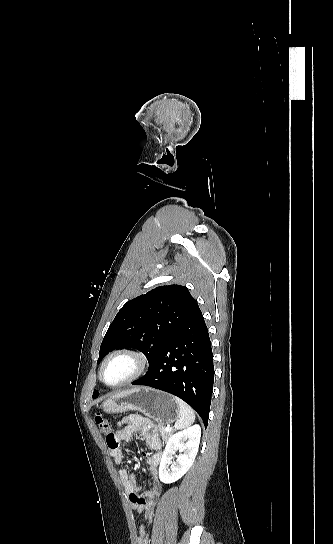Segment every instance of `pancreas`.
Listing matches in <instances>:
<instances>
[{
  "mask_svg": "<svg viewBox=\"0 0 333 544\" xmlns=\"http://www.w3.org/2000/svg\"><path fill=\"white\" fill-rule=\"evenodd\" d=\"M159 432H160V435L162 437V439L166 442L169 437L172 435L173 433V430H171L170 432H166L165 431V427L163 425H159Z\"/></svg>",
  "mask_w": 333,
  "mask_h": 544,
  "instance_id": "pancreas-1",
  "label": "pancreas"
}]
</instances>
